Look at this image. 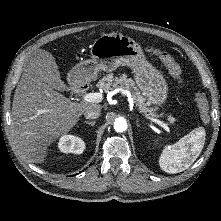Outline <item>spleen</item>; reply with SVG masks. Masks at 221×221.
I'll use <instances>...</instances> for the list:
<instances>
[{
	"label": "spleen",
	"mask_w": 221,
	"mask_h": 221,
	"mask_svg": "<svg viewBox=\"0 0 221 221\" xmlns=\"http://www.w3.org/2000/svg\"><path fill=\"white\" fill-rule=\"evenodd\" d=\"M205 135V129L199 127L175 144L166 145L159 158L161 169L176 174L189 168L203 149Z\"/></svg>",
	"instance_id": "spleen-1"
}]
</instances>
